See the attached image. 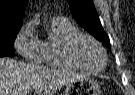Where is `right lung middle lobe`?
I'll use <instances>...</instances> for the list:
<instances>
[{"instance_id": "obj_1", "label": "right lung middle lobe", "mask_w": 135, "mask_h": 95, "mask_svg": "<svg viewBox=\"0 0 135 95\" xmlns=\"http://www.w3.org/2000/svg\"><path fill=\"white\" fill-rule=\"evenodd\" d=\"M18 32L0 34V57L15 56L13 44Z\"/></svg>"}]
</instances>
